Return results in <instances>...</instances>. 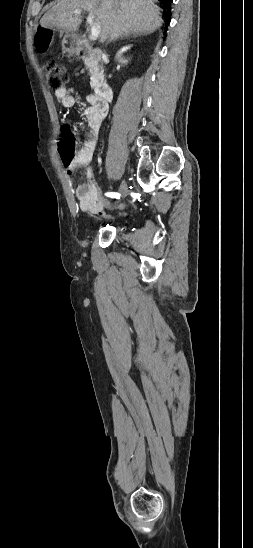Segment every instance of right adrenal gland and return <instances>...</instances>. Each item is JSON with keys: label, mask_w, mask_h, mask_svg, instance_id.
<instances>
[{"label": "right adrenal gland", "mask_w": 253, "mask_h": 548, "mask_svg": "<svg viewBox=\"0 0 253 548\" xmlns=\"http://www.w3.org/2000/svg\"><path fill=\"white\" fill-rule=\"evenodd\" d=\"M132 36V34H122L120 35L119 37H116V38H113V39H109L108 42L106 43V45H108L109 43H111L112 41H116L118 39H123V38H128ZM134 37H136V34H133Z\"/></svg>", "instance_id": "2a0ac1e0"}]
</instances>
